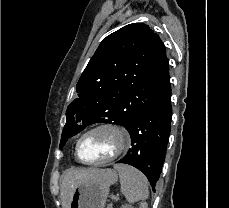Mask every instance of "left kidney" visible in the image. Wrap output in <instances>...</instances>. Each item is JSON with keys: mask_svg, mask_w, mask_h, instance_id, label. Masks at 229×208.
<instances>
[{"mask_svg": "<svg viewBox=\"0 0 229 208\" xmlns=\"http://www.w3.org/2000/svg\"><path fill=\"white\" fill-rule=\"evenodd\" d=\"M123 208H127V206H123Z\"/></svg>", "mask_w": 229, "mask_h": 208, "instance_id": "left-kidney-1", "label": "left kidney"}]
</instances>
